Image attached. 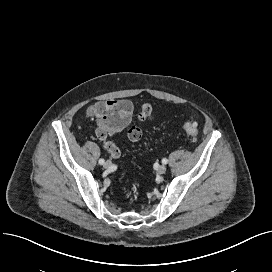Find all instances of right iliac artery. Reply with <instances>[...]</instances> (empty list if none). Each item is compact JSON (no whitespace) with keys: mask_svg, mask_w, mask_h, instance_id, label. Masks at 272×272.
I'll use <instances>...</instances> for the list:
<instances>
[{"mask_svg":"<svg viewBox=\"0 0 272 272\" xmlns=\"http://www.w3.org/2000/svg\"><path fill=\"white\" fill-rule=\"evenodd\" d=\"M104 162H105L104 159H100V160H99V164H101V165H103Z\"/></svg>","mask_w":272,"mask_h":272,"instance_id":"obj_1","label":"right iliac artery"}]
</instances>
